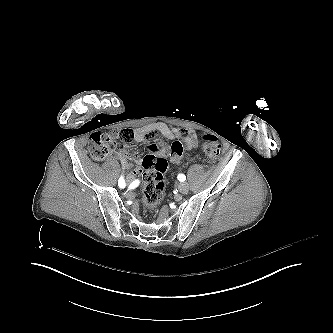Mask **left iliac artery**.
<instances>
[{"label":"left iliac artery","instance_id":"obj_1","mask_svg":"<svg viewBox=\"0 0 333 333\" xmlns=\"http://www.w3.org/2000/svg\"><path fill=\"white\" fill-rule=\"evenodd\" d=\"M177 178L181 182L185 181V179H186L185 175H183V174H179Z\"/></svg>","mask_w":333,"mask_h":333}]
</instances>
